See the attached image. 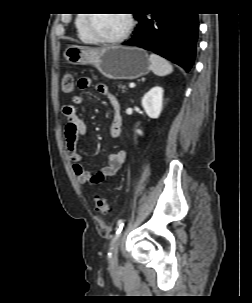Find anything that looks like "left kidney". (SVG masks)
Listing matches in <instances>:
<instances>
[{
  "instance_id": "1",
  "label": "left kidney",
  "mask_w": 252,
  "mask_h": 303,
  "mask_svg": "<svg viewBox=\"0 0 252 303\" xmlns=\"http://www.w3.org/2000/svg\"><path fill=\"white\" fill-rule=\"evenodd\" d=\"M164 90L160 86L151 88L142 98L141 104L147 115L152 119H157L160 116L163 105ZM139 135H142L141 130H137Z\"/></svg>"
}]
</instances>
